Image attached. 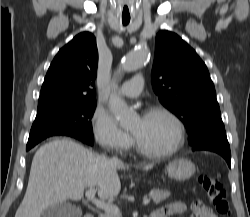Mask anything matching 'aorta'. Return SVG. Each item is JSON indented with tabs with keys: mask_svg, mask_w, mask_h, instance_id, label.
Wrapping results in <instances>:
<instances>
[{
	"mask_svg": "<svg viewBox=\"0 0 250 217\" xmlns=\"http://www.w3.org/2000/svg\"><path fill=\"white\" fill-rule=\"evenodd\" d=\"M149 56V50L145 46H141L136 50L129 52L120 66V70L131 72L139 69ZM117 87L115 84L112 86ZM109 109L122 126H129L134 121V113L129 109L128 105L116 94H111L109 99Z\"/></svg>",
	"mask_w": 250,
	"mask_h": 217,
	"instance_id": "1",
	"label": "aorta"
}]
</instances>
